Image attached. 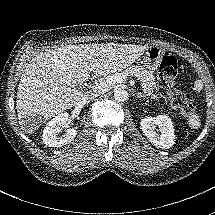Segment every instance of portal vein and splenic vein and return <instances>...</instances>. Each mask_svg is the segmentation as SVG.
Wrapping results in <instances>:
<instances>
[{
	"label": "portal vein and splenic vein",
	"mask_w": 215,
	"mask_h": 215,
	"mask_svg": "<svg viewBox=\"0 0 215 215\" xmlns=\"http://www.w3.org/2000/svg\"><path fill=\"white\" fill-rule=\"evenodd\" d=\"M128 77L127 72H122L113 76H109L105 80L99 83H95L94 87L95 89H107L108 87H111L113 84H118L124 79ZM92 83V82H91Z\"/></svg>",
	"instance_id": "obj_1"
}]
</instances>
